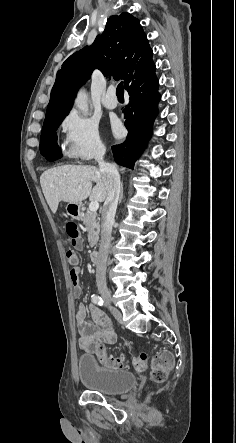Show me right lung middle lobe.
I'll list each match as a JSON object with an SVG mask.
<instances>
[{
	"label": "right lung middle lobe",
	"instance_id": "obj_1",
	"mask_svg": "<svg viewBox=\"0 0 236 443\" xmlns=\"http://www.w3.org/2000/svg\"><path fill=\"white\" fill-rule=\"evenodd\" d=\"M67 114L68 112L61 113L56 116L50 117L44 121V125L41 132V138H40L41 152L49 148L58 146L56 130Z\"/></svg>",
	"mask_w": 236,
	"mask_h": 443
}]
</instances>
